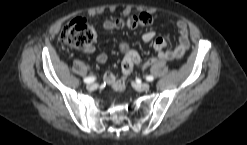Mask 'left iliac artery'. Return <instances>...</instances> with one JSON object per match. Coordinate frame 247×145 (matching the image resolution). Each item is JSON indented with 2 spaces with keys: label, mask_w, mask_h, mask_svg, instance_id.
I'll return each instance as SVG.
<instances>
[{
  "label": "left iliac artery",
  "mask_w": 247,
  "mask_h": 145,
  "mask_svg": "<svg viewBox=\"0 0 247 145\" xmlns=\"http://www.w3.org/2000/svg\"><path fill=\"white\" fill-rule=\"evenodd\" d=\"M146 80L149 81V82H151V81L154 80V77L151 76V75H149V76L146 77Z\"/></svg>",
  "instance_id": "1"
}]
</instances>
